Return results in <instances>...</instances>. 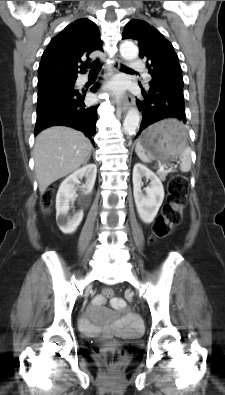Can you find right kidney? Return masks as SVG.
Segmentation results:
<instances>
[{
	"label": "right kidney",
	"instance_id": "ca27d5eb",
	"mask_svg": "<svg viewBox=\"0 0 225 395\" xmlns=\"http://www.w3.org/2000/svg\"><path fill=\"white\" fill-rule=\"evenodd\" d=\"M96 174V165L88 164L76 170L61 183L56 196V222L63 233L71 234L75 232L83 218V211L75 213L72 217L68 215L70 200L76 194L75 184L79 183V179L85 177L86 182L83 185V192L88 194L94 187Z\"/></svg>",
	"mask_w": 225,
	"mask_h": 395
}]
</instances>
